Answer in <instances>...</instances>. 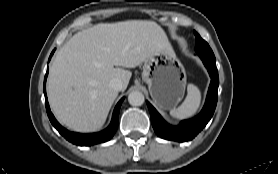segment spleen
Segmentation results:
<instances>
[{
	"mask_svg": "<svg viewBox=\"0 0 278 174\" xmlns=\"http://www.w3.org/2000/svg\"><path fill=\"white\" fill-rule=\"evenodd\" d=\"M201 102V92L197 86L194 84H189L187 86V96L182 104L170 110V115L177 119H187L193 116Z\"/></svg>",
	"mask_w": 278,
	"mask_h": 174,
	"instance_id": "spleen-1",
	"label": "spleen"
}]
</instances>
